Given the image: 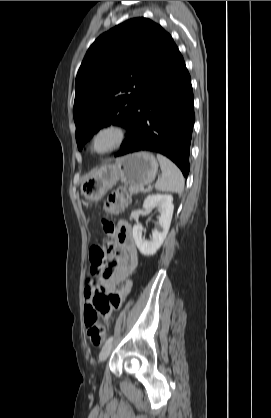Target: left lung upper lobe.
<instances>
[{
  "label": "left lung upper lobe",
  "mask_w": 271,
  "mask_h": 418,
  "mask_svg": "<svg viewBox=\"0 0 271 418\" xmlns=\"http://www.w3.org/2000/svg\"><path fill=\"white\" fill-rule=\"evenodd\" d=\"M172 42L160 25L143 17L121 23L95 40L75 82L73 116L79 150L104 126L126 127Z\"/></svg>",
  "instance_id": "left-lung-upper-lobe-1"
}]
</instances>
